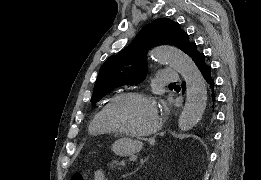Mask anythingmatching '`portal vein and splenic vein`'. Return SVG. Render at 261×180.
Here are the masks:
<instances>
[{
    "mask_svg": "<svg viewBox=\"0 0 261 180\" xmlns=\"http://www.w3.org/2000/svg\"><path fill=\"white\" fill-rule=\"evenodd\" d=\"M117 166L126 167L127 163L125 161H117Z\"/></svg>",
    "mask_w": 261,
    "mask_h": 180,
    "instance_id": "18ae733b",
    "label": "portal vein and splenic vein"
}]
</instances>
